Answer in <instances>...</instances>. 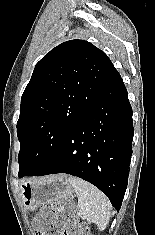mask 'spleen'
Segmentation results:
<instances>
[{
    "label": "spleen",
    "mask_w": 155,
    "mask_h": 235,
    "mask_svg": "<svg viewBox=\"0 0 155 235\" xmlns=\"http://www.w3.org/2000/svg\"><path fill=\"white\" fill-rule=\"evenodd\" d=\"M68 182L78 197V214L95 223L99 231L105 230L111 215L108 198L98 188L80 178L70 176Z\"/></svg>",
    "instance_id": "3e777b00"
}]
</instances>
